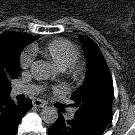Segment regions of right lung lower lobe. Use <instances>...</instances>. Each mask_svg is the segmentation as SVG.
I'll return each instance as SVG.
<instances>
[{
  "mask_svg": "<svg viewBox=\"0 0 135 135\" xmlns=\"http://www.w3.org/2000/svg\"><path fill=\"white\" fill-rule=\"evenodd\" d=\"M31 108L28 98L15 104L9 94L0 96V135H15L20 120Z\"/></svg>",
  "mask_w": 135,
  "mask_h": 135,
  "instance_id": "98d812e1",
  "label": "right lung lower lobe"
}]
</instances>
